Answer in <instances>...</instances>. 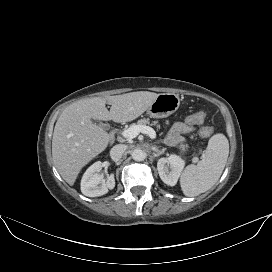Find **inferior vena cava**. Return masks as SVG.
<instances>
[{"mask_svg":"<svg viewBox=\"0 0 272 272\" xmlns=\"http://www.w3.org/2000/svg\"><path fill=\"white\" fill-rule=\"evenodd\" d=\"M126 149H127V146L124 144L115 145L110 150L111 159L114 161H118L124 155Z\"/></svg>","mask_w":272,"mask_h":272,"instance_id":"obj_1","label":"inferior vena cava"}]
</instances>
